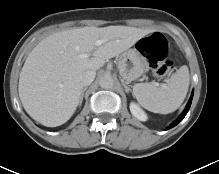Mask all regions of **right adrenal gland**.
<instances>
[{"label":"right adrenal gland","instance_id":"right-adrenal-gland-1","mask_svg":"<svg viewBox=\"0 0 219 174\" xmlns=\"http://www.w3.org/2000/svg\"><path fill=\"white\" fill-rule=\"evenodd\" d=\"M87 86L86 87H84L83 88V90H82V93H81V96H80V105H81V103H82V101H83V96H84V92L87 90Z\"/></svg>","mask_w":219,"mask_h":174}]
</instances>
